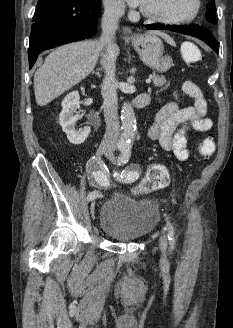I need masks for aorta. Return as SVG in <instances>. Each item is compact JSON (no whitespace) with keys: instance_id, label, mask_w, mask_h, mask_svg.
I'll use <instances>...</instances> for the list:
<instances>
[{"instance_id":"762f6f07","label":"aorta","mask_w":233,"mask_h":328,"mask_svg":"<svg viewBox=\"0 0 233 328\" xmlns=\"http://www.w3.org/2000/svg\"><path fill=\"white\" fill-rule=\"evenodd\" d=\"M121 137L119 145L122 149L130 150L136 136L137 123L132 106L124 103L121 110Z\"/></svg>"}]
</instances>
